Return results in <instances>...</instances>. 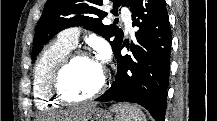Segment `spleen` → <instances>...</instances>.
Returning <instances> with one entry per match:
<instances>
[{"label": "spleen", "instance_id": "spleen-1", "mask_svg": "<svg viewBox=\"0 0 217 121\" xmlns=\"http://www.w3.org/2000/svg\"><path fill=\"white\" fill-rule=\"evenodd\" d=\"M110 109L116 113L117 121H146L144 113L134 105L115 104Z\"/></svg>", "mask_w": 217, "mask_h": 121}]
</instances>
